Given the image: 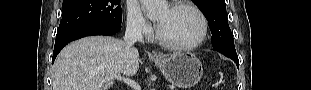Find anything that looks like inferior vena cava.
<instances>
[{
  "instance_id": "602c4592",
  "label": "inferior vena cava",
  "mask_w": 311,
  "mask_h": 90,
  "mask_svg": "<svg viewBox=\"0 0 311 90\" xmlns=\"http://www.w3.org/2000/svg\"><path fill=\"white\" fill-rule=\"evenodd\" d=\"M124 41L126 48L124 53V60H127V65L130 70H135L139 64L137 48L140 46L139 42H144L142 30L137 24H127Z\"/></svg>"
}]
</instances>
